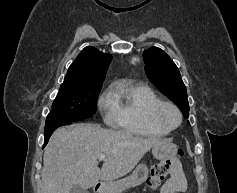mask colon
Segmentation results:
<instances>
[{
    "label": "colon",
    "instance_id": "colon-1",
    "mask_svg": "<svg viewBox=\"0 0 237 193\" xmlns=\"http://www.w3.org/2000/svg\"><path fill=\"white\" fill-rule=\"evenodd\" d=\"M179 155H182L181 150H179ZM171 169L172 164L170 161H164L154 165L152 175L148 180V185L152 188L157 187L166 178Z\"/></svg>",
    "mask_w": 237,
    "mask_h": 193
}]
</instances>
